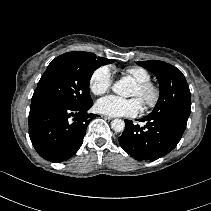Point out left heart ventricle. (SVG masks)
Here are the masks:
<instances>
[{"label":"left heart ventricle","instance_id":"1","mask_svg":"<svg viewBox=\"0 0 211 211\" xmlns=\"http://www.w3.org/2000/svg\"><path fill=\"white\" fill-rule=\"evenodd\" d=\"M131 96L140 99V101L142 102V94L137 86L134 87Z\"/></svg>","mask_w":211,"mask_h":211}]
</instances>
